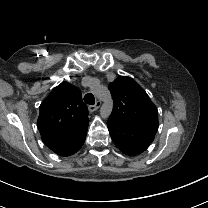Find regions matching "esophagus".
I'll use <instances>...</instances> for the list:
<instances>
[{
    "mask_svg": "<svg viewBox=\"0 0 208 208\" xmlns=\"http://www.w3.org/2000/svg\"><path fill=\"white\" fill-rule=\"evenodd\" d=\"M101 106V101H97L95 105L88 106L89 112L96 111Z\"/></svg>",
    "mask_w": 208,
    "mask_h": 208,
    "instance_id": "obj_1",
    "label": "esophagus"
}]
</instances>
